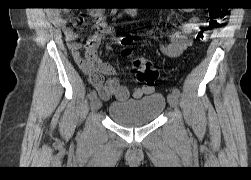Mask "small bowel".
Wrapping results in <instances>:
<instances>
[{
    "label": "small bowel",
    "instance_id": "obj_1",
    "mask_svg": "<svg viewBox=\"0 0 251 180\" xmlns=\"http://www.w3.org/2000/svg\"><path fill=\"white\" fill-rule=\"evenodd\" d=\"M89 13L96 17L98 22L95 33L85 42L84 56L80 51L81 40L78 34L67 25L63 14L54 13L53 21L55 25L62 29L74 61L87 75L90 84L97 90L100 97L105 100L115 97L118 101H125L130 96L133 99H140L153 93V85L146 84L133 89L130 93L126 87L119 83L117 78L112 77L115 73L113 66L100 60L96 51L102 39L114 34V29L101 11L91 10ZM124 13L134 16L136 11L134 9H127ZM199 25L200 18L198 16L195 15L189 18L178 30L171 33L168 43H159L161 52L169 58L181 56L191 46L192 40L190 39V35L198 29ZM154 38L158 40V37L154 36ZM107 76L109 78L106 79L105 77Z\"/></svg>",
    "mask_w": 251,
    "mask_h": 180
}]
</instances>
